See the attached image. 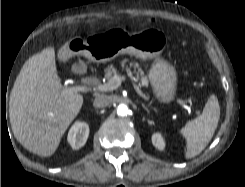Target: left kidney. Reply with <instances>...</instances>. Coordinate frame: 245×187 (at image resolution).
I'll list each match as a JSON object with an SVG mask.
<instances>
[{"mask_svg": "<svg viewBox=\"0 0 245 187\" xmlns=\"http://www.w3.org/2000/svg\"><path fill=\"white\" fill-rule=\"evenodd\" d=\"M152 143L159 150H163L165 148V142L160 133H154L152 135Z\"/></svg>", "mask_w": 245, "mask_h": 187, "instance_id": "5707ae66", "label": "left kidney"}]
</instances>
